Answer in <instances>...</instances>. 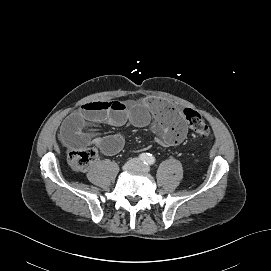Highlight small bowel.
Masks as SVG:
<instances>
[{"instance_id": "small-bowel-1", "label": "small bowel", "mask_w": 271, "mask_h": 271, "mask_svg": "<svg viewBox=\"0 0 271 271\" xmlns=\"http://www.w3.org/2000/svg\"><path fill=\"white\" fill-rule=\"evenodd\" d=\"M150 115H153L162 132L163 145L175 146L184 140L187 134L184 116L173 106L158 99L143 100L130 110L122 102L114 100L88 102L63 122L60 138L70 148L94 145L105 155H115L124 145L122 135L112 134L94 138L86 130L87 123L122 126L130 121L138 127H143L149 123Z\"/></svg>"}]
</instances>
